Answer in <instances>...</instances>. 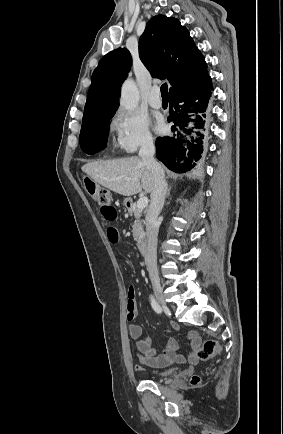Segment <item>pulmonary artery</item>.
Returning a JSON list of instances; mask_svg holds the SVG:
<instances>
[{
	"label": "pulmonary artery",
	"mask_w": 283,
	"mask_h": 434,
	"mask_svg": "<svg viewBox=\"0 0 283 434\" xmlns=\"http://www.w3.org/2000/svg\"><path fill=\"white\" fill-rule=\"evenodd\" d=\"M149 105L154 109H159L162 106V100L160 98V90L158 86H154L149 94Z\"/></svg>",
	"instance_id": "obj_1"
}]
</instances>
